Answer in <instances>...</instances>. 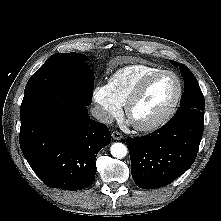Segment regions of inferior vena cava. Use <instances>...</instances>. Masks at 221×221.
<instances>
[{"instance_id":"inferior-vena-cava-1","label":"inferior vena cava","mask_w":221,"mask_h":221,"mask_svg":"<svg viewBox=\"0 0 221 221\" xmlns=\"http://www.w3.org/2000/svg\"><path fill=\"white\" fill-rule=\"evenodd\" d=\"M91 114L99 122H102L104 124H111L113 121V117L99 105H96L94 108L91 109Z\"/></svg>"}]
</instances>
